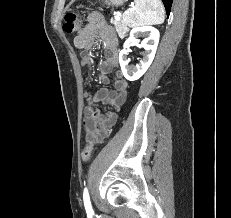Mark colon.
<instances>
[{"instance_id": "5ec220e1", "label": "colon", "mask_w": 231, "mask_h": 218, "mask_svg": "<svg viewBox=\"0 0 231 218\" xmlns=\"http://www.w3.org/2000/svg\"><path fill=\"white\" fill-rule=\"evenodd\" d=\"M82 24L81 19L75 13H68L65 16V22L63 25L64 31L68 34L76 32ZM94 152L93 143L89 142L82 150L81 156L84 161H88Z\"/></svg>"}]
</instances>
